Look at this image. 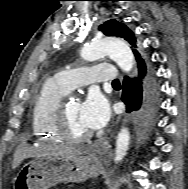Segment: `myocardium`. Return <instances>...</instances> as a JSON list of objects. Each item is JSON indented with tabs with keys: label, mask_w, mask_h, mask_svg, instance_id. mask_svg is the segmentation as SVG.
<instances>
[{
	"label": "myocardium",
	"mask_w": 188,
	"mask_h": 189,
	"mask_svg": "<svg viewBox=\"0 0 188 189\" xmlns=\"http://www.w3.org/2000/svg\"><path fill=\"white\" fill-rule=\"evenodd\" d=\"M55 126L62 139L70 143H80L87 141L91 137V132H86L81 135L72 134L68 127L67 120V101H61L58 110L55 114Z\"/></svg>",
	"instance_id": "f54148a6"
}]
</instances>
